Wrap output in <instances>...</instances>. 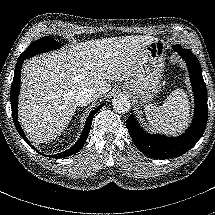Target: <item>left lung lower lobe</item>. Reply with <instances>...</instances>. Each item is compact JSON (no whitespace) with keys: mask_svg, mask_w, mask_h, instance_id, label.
I'll use <instances>...</instances> for the list:
<instances>
[{"mask_svg":"<svg viewBox=\"0 0 215 215\" xmlns=\"http://www.w3.org/2000/svg\"><path fill=\"white\" fill-rule=\"evenodd\" d=\"M173 49L186 61L189 69L196 105L191 126L184 134L170 138L146 133L133 115L126 121L129 134L137 148L145 155L156 159L178 157L191 149L204 133L208 118L206 85L197 57L191 50L182 49L180 45H173Z\"/></svg>","mask_w":215,"mask_h":215,"instance_id":"obj_1","label":"left lung lower lobe"}]
</instances>
